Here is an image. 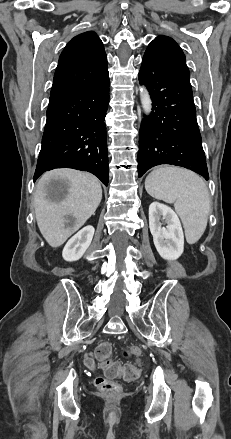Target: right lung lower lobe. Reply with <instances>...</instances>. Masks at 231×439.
I'll use <instances>...</instances> for the list:
<instances>
[{"label": "right lung lower lobe", "mask_w": 231, "mask_h": 439, "mask_svg": "<svg viewBox=\"0 0 231 439\" xmlns=\"http://www.w3.org/2000/svg\"><path fill=\"white\" fill-rule=\"evenodd\" d=\"M109 76L50 103L34 181L55 168H73L109 182L105 116Z\"/></svg>", "instance_id": "obj_1"}]
</instances>
